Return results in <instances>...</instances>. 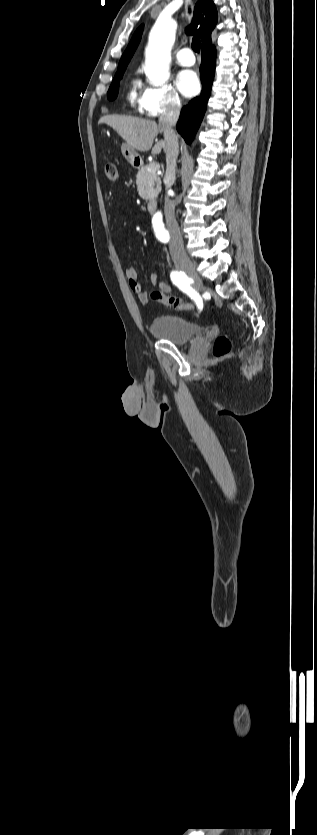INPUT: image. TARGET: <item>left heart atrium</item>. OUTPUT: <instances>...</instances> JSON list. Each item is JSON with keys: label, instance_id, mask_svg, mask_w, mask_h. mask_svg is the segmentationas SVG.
I'll use <instances>...</instances> for the list:
<instances>
[{"label": "left heart atrium", "instance_id": "left-heart-atrium-1", "mask_svg": "<svg viewBox=\"0 0 317 835\" xmlns=\"http://www.w3.org/2000/svg\"><path fill=\"white\" fill-rule=\"evenodd\" d=\"M177 87L186 97L194 96L200 89L198 77L191 70H183L178 74Z\"/></svg>", "mask_w": 317, "mask_h": 835}]
</instances>
